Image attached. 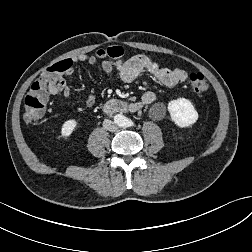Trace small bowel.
I'll use <instances>...</instances> for the list:
<instances>
[{
    "instance_id": "c3829d8e",
    "label": "small bowel",
    "mask_w": 252,
    "mask_h": 252,
    "mask_svg": "<svg viewBox=\"0 0 252 252\" xmlns=\"http://www.w3.org/2000/svg\"><path fill=\"white\" fill-rule=\"evenodd\" d=\"M70 68L65 72L67 75L73 73V64L76 62H87L89 65H94L96 58L86 54H81L72 59L67 60ZM103 71L106 74H111L113 70L118 71L121 80L125 83H132L143 72H148L153 75L160 83L167 87H174L180 82L187 79L188 74L185 70L180 68H163L156 62L143 54L135 55L127 60H119L114 63L104 61L102 63ZM49 94L53 96H63L68 98L70 96V87L64 79H60L57 84L48 88ZM96 95L94 91H89L87 95L86 104L92 106L95 103ZM156 99V95L152 91L145 92L139 102L129 103V111H137L152 104Z\"/></svg>"
}]
</instances>
